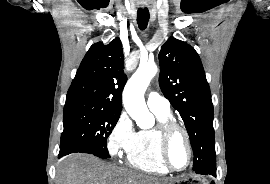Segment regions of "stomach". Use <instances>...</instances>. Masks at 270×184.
Returning a JSON list of instances; mask_svg holds the SVG:
<instances>
[{"instance_id": "1", "label": "stomach", "mask_w": 270, "mask_h": 184, "mask_svg": "<svg viewBox=\"0 0 270 184\" xmlns=\"http://www.w3.org/2000/svg\"><path fill=\"white\" fill-rule=\"evenodd\" d=\"M176 184H208L206 179L198 176H188L176 181Z\"/></svg>"}]
</instances>
